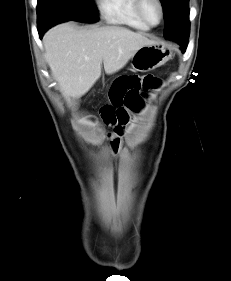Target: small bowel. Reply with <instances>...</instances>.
<instances>
[{
	"instance_id": "obj_1",
	"label": "small bowel",
	"mask_w": 231,
	"mask_h": 281,
	"mask_svg": "<svg viewBox=\"0 0 231 281\" xmlns=\"http://www.w3.org/2000/svg\"><path fill=\"white\" fill-rule=\"evenodd\" d=\"M161 80L153 74H122L116 77L110 85L108 96L109 103L100 108V116L107 124L118 127L114 132L112 148L117 151L121 127L128 124L133 115L139 113L150 91L157 89Z\"/></svg>"
}]
</instances>
